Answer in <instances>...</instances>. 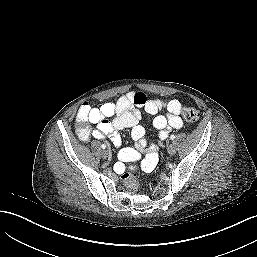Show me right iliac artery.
I'll return each instance as SVG.
<instances>
[{"instance_id": "82829eb1", "label": "right iliac artery", "mask_w": 257, "mask_h": 257, "mask_svg": "<svg viewBox=\"0 0 257 257\" xmlns=\"http://www.w3.org/2000/svg\"><path fill=\"white\" fill-rule=\"evenodd\" d=\"M101 147H102L103 149H105V148H106V145H105V144H102Z\"/></svg>"}]
</instances>
